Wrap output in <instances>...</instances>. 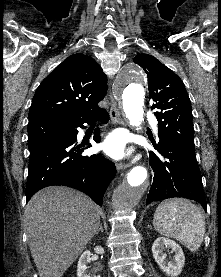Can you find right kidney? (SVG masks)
Masks as SVG:
<instances>
[{"label":"right kidney","instance_id":"right-kidney-1","mask_svg":"<svg viewBox=\"0 0 221 277\" xmlns=\"http://www.w3.org/2000/svg\"><path fill=\"white\" fill-rule=\"evenodd\" d=\"M95 253L97 254H103L104 249L101 246H96L94 248ZM91 261V252L85 251L80 256L78 265H77V277H90L87 273V264ZM100 277V276H97Z\"/></svg>","mask_w":221,"mask_h":277}]
</instances>
